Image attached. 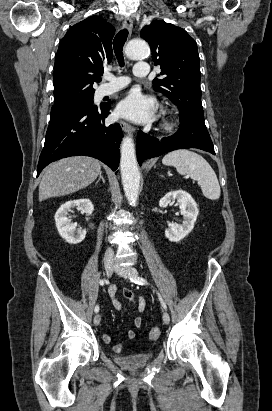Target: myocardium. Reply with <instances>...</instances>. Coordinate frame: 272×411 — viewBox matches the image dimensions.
Masks as SVG:
<instances>
[{
    "label": "myocardium",
    "instance_id": "f54148a6",
    "mask_svg": "<svg viewBox=\"0 0 272 411\" xmlns=\"http://www.w3.org/2000/svg\"><path fill=\"white\" fill-rule=\"evenodd\" d=\"M174 117L172 115H166L163 119L162 126L165 130H171L174 127Z\"/></svg>",
    "mask_w": 272,
    "mask_h": 411
}]
</instances>
